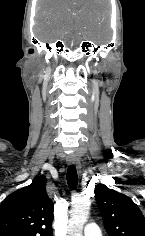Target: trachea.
Here are the masks:
<instances>
[{
    "label": "trachea",
    "mask_w": 145,
    "mask_h": 236,
    "mask_svg": "<svg viewBox=\"0 0 145 236\" xmlns=\"http://www.w3.org/2000/svg\"><path fill=\"white\" fill-rule=\"evenodd\" d=\"M66 179H67V184H68L70 189L73 190L77 187L78 175H77L75 165H71V166L68 167Z\"/></svg>",
    "instance_id": "obj_1"
}]
</instances>
